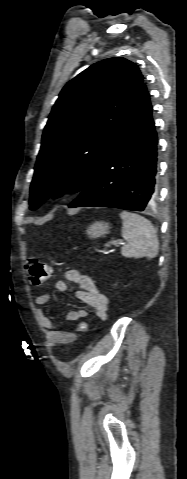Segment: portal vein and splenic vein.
<instances>
[{
  "label": "portal vein and splenic vein",
  "mask_w": 187,
  "mask_h": 479,
  "mask_svg": "<svg viewBox=\"0 0 187 479\" xmlns=\"http://www.w3.org/2000/svg\"><path fill=\"white\" fill-rule=\"evenodd\" d=\"M124 244L122 241H113L109 245H107V248L109 249L111 246H117V245H122Z\"/></svg>",
  "instance_id": "portal-vein-and-splenic-vein-1"
}]
</instances>
